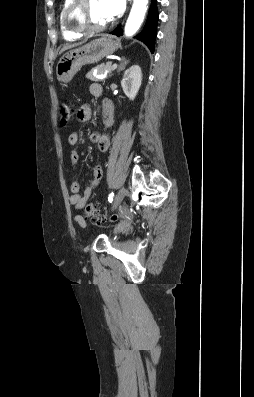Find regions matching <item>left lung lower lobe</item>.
I'll list each match as a JSON object with an SVG mask.
<instances>
[{
	"instance_id": "1",
	"label": "left lung lower lobe",
	"mask_w": 254,
	"mask_h": 397,
	"mask_svg": "<svg viewBox=\"0 0 254 397\" xmlns=\"http://www.w3.org/2000/svg\"><path fill=\"white\" fill-rule=\"evenodd\" d=\"M157 21H158V12L156 7V0H152L145 26L141 31V33L137 36V39L144 42L152 53L154 52V46H155ZM113 34H115L116 36H121L123 34L121 25H119L114 30Z\"/></svg>"
}]
</instances>
